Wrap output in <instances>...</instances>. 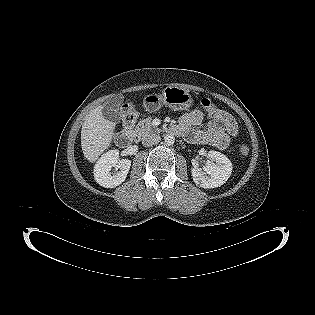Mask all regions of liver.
Segmentation results:
<instances>
[{
    "instance_id": "liver-1",
    "label": "liver",
    "mask_w": 315,
    "mask_h": 315,
    "mask_svg": "<svg viewBox=\"0 0 315 315\" xmlns=\"http://www.w3.org/2000/svg\"><path fill=\"white\" fill-rule=\"evenodd\" d=\"M120 102L115 106L118 107ZM104 107L105 105H101L91 110L82 124L81 148L84 157L90 162L98 160L99 156L108 149L115 136L116 124L103 116Z\"/></svg>"
}]
</instances>
